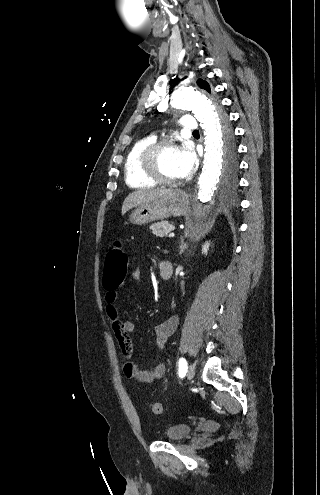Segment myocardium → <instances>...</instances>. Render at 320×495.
Returning a JSON list of instances; mask_svg holds the SVG:
<instances>
[{
	"label": "myocardium",
	"instance_id": "f54148a6",
	"mask_svg": "<svg viewBox=\"0 0 320 495\" xmlns=\"http://www.w3.org/2000/svg\"><path fill=\"white\" fill-rule=\"evenodd\" d=\"M168 147L179 148L180 141L173 137H166L155 140L149 144L140 155V168L142 172L154 182L173 186L176 185L179 180L163 176L158 167L159 155Z\"/></svg>",
	"mask_w": 320,
	"mask_h": 495
}]
</instances>
